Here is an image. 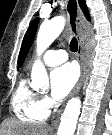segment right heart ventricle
Returning <instances> with one entry per match:
<instances>
[{
    "instance_id": "obj_1",
    "label": "right heart ventricle",
    "mask_w": 112,
    "mask_h": 135,
    "mask_svg": "<svg viewBox=\"0 0 112 135\" xmlns=\"http://www.w3.org/2000/svg\"><path fill=\"white\" fill-rule=\"evenodd\" d=\"M11 105L16 117L27 123L43 122L49 114L42 97L26 79L21 80L13 92Z\"/></svg>"
}]
</instances>
